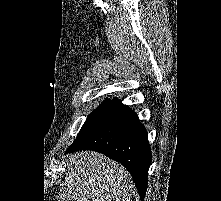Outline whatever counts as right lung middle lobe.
Masks as SVG:
<instances>
[{
	"label": "right lung middle lobe",
	"instance_id": "obj_1",
	"mask_svg": "<svg viewBox=\"0 0 221 201\" xmlns=\"http://www.w3.org/2000/svg\"><path fill=\"white\" fill-rule=\"evenodd\" d=\"M109 100L107 99L105 102L101 103L100 106L97 107L86 119L84 125L108 102ZM83 125V126H84Z\"/></svg>",
	"mask_w": 221,
	"mask_h": 201
}]
</instances>
